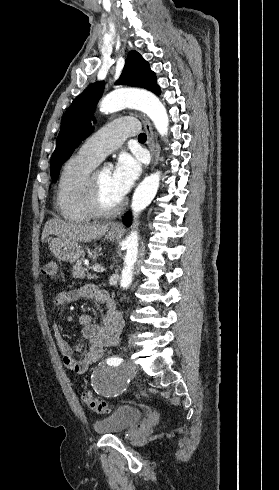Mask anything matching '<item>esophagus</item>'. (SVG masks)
Wrapping results in <instances>:
<instances>
[{"instance_id": "1", "label": "esophagus", "mask_w": 279, "mask_h": 490, "mask_svg": "<svg viewBox=\"0 0 279 490\" xmlns=\"http://www.w3.org/2000/svg\"><path fill=\"white\" fill-rule=\"evenodd\" d=\"M138 116H139L141 122L143 123L144 128H145L146 133H147V145H148V148H149L150 153H151L152 163L156 164L158 157H156L157 150H156V146H155V138H154V132H153L152 125L150 124L149 120L145 117V115H143L142 113H139ZM111 227L113 230H117L121 226L118 223H113L111 225Z\"/></svg>"}]
</instances>
